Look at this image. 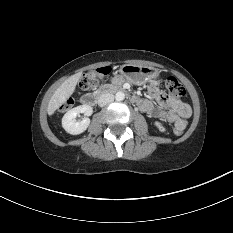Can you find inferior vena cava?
<instances>
[{"label": "inferior vena cava", "instance_id": "602c4592", "mask_svg": "<svg viewBox=\"0 0 233 233\" xmlns=\"http://www.w3.org/2000/svg\"><path fill=\"white\" fill-rule=\"evenodd\" d=\"M114 101V95L110 93L102 94L98 99V105L103 107Z\"/></svg>", "mask_w": 233, "mask_h": 233}]
</instances>
